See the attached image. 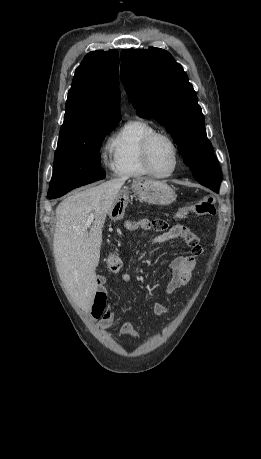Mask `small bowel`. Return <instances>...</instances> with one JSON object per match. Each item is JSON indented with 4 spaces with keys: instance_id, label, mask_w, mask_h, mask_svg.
Here are the masks:
<instances>
[{
    "instance_id": "obj_1",
    "label": "small bowel",
    "mask_w": 261,
    "mask_h": 459,
    "mask_svg": "<svg viewBox=\"0 0 261 459\" xmlns=\"http://www.w3.org/2000/svg\"><path fill=\"white\" fill-rule=\"evenodd\" d=\"M126 228L130 230H148L150 228V223L145 219L129 221L126 223ZM177 238H182L187 242L192 249V254L189 256L177 257L170 262L171 278L166 287L163 289L166 294H172L189 283L196 266V256L202 253V247L199 239L187 227L179 224L173 225L167 231L153 237L151 241L154 244H159ZM120 280L123 283H127L131 280V276L128 273H124L121 275ZM98 282V290L95 294V299L97 297H102L104 299V311L96 318H99V327L105 329L114 323L115 315L109 307H106V292L103 287L104 278L100 277ZM152 310L158 317H163L168 312L167 308L158 301L153 303ZM120 334L132 339L139 338V333L127 320H123L121 322Z\"/></svg>"
}]
</instances>
